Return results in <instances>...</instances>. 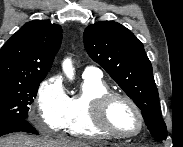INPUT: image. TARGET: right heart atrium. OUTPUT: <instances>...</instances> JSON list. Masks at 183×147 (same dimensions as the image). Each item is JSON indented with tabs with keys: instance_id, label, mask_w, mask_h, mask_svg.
<instances>
[{
	"instance_id": "d8ad5b80",
	"label": "right heart atrium",
	"mask_w": 183,
	"mask_h": 147,
	"mask_svg": "<svg viewBox=\"0 0 183 147\" xmlns=\"http://www.w3.org/2000/svg\"><path fill=\"white\" fill-rule=\"evenodd\" d=\"M67 103L68 96L59 77L51 76L42 81L36 96V124L53 131L63 129L67 116Z\"/></svg>"
}]
</instances>
